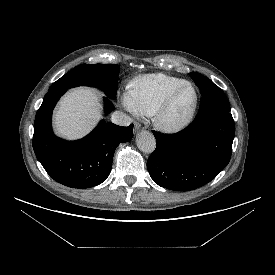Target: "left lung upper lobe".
Here are the masks:
<instances>
[{
	"label": "left lung upper lobe",
	"mask_w": 275,
	"mask_h": 275,
	"mask_svg": "<svg viewBox=\"0 0 275 275\" xmlns=\"http://www.w3.org/2000/svg\"><path fill=\"white\" fill-rule=\"evenodd\" d=\"M190 77L199 87L202 95L198 116L211 113H230L229 102L217 85L198 72H191Z\"/></svg>",
	"instance_id": "left-lung-upper-lobe-1"
}]
</instances>
